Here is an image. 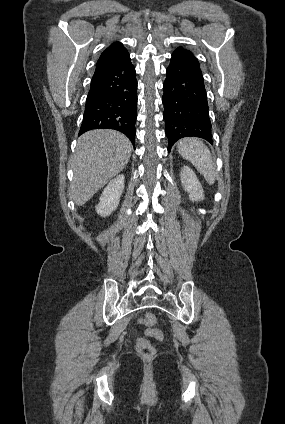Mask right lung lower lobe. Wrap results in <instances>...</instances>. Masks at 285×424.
<instances>
[{"label":"right lung lower lobe","instance_id":"98d812e1","mask_svg":"<svg viewBox=\"0 0 285 424\" xmlns=\"http://www.w3.org/2000/svg\"><path fill=\"white\" fill-rule=\"evenodd\" d=\"M136 118L137 80L130 57L96 69L79 134L93 129H115L134 145Z\"/></svg>","mask_w":285,"mask_h":424}]
</instances>
